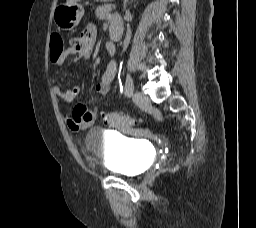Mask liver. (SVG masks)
<instances>
[{"label": "liver", "mask_w": 256, "mask_h": 228, "mask_svg": "<svg viewBox=\"0 0 256 228\" xmlns=\"http://www.w3.org/2000/svg\"><path fill=\"white\" fill-rule=\"evenodd\" d=\"M80 0H67L66 4L67 5H70V4H74V3H77L79 2Z\"/></svg>", "instance_id": "obj_1"}]
</instances>
